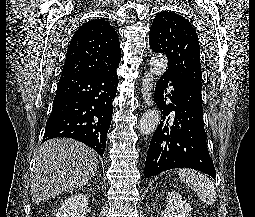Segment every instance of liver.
I'll return each instance as SVG.
<instances>
[{"label":"liver","instance_id":"1","mask_svg":"<svg viewBox=\"0 0 255 217\" xmlns=\"http://www.w3.org/2000/svg\"><path fill=\"white\" fill-rule=\"evenodd\" d=\"M35 159L31 195L36 203L83 186L98 168L95 151L69 138H56L43 143Z\"/></svg>","mask_w":255,"mask_h":217}]
</instances>
